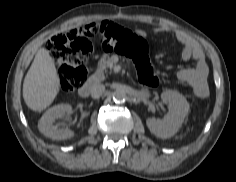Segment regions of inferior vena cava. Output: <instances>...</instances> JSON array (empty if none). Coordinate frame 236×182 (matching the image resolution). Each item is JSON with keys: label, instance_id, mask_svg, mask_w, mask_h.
Returning a JSON list of instances; mask_svg holds the SVG:
<instances>
[{"label": "inferior vena cava", "instance_id": "inferior-vena-cava-1", "mask_svg": "<svg viewBox=\"0 0 236 182\" xmlns=\"http://www.w3.org/2000/svg\"><path fill=\"white\" fill-rule=\"evenodd\" d=\"M105 91V86L103 84H95L91 88V97L94 99L99 98Z\"/></svg>", "mask_w": 236, "mask_h": 182}]
</instances>
